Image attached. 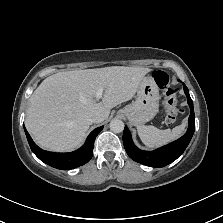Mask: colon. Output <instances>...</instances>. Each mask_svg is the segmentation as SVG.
I'll return each mask as SVG.
<instances>
[{
    "label": "colon",
    "mask_w": 223,
    "mask_h": 223,
    "mask_svg": "<svg viewBox=\"0 0 223 223\" xmlns=\"http://www.w3.org/2000/svg\"><path fill=\"white\" fill-rule=\"evenodd\" d=\"M153 78L157 86L164 92L165 100L164 105L166 108V123L173 124L178 116L180 115V110L176 108V93L177 89L172 87L170 84V78L164 71H155L153 73Z\"/></svg>",
    "instance_id": "obj_1"
}]
</instances>
